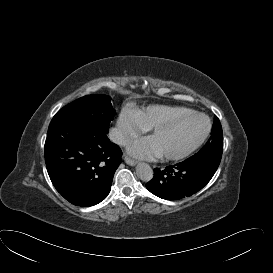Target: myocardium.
Instances as JSON below:
<instances>
[{
  "instance_id": "1",
  "label": "myocardium",
  "mask_w": 273,
  "mask_h": 273,
  "mask_svg": "<svg viewBox=\"0 0 273 273\" xmlns=\"http://www.w3.org/2000/svg\"><path fill=\"white\" fill-rule=\"evenodd\" d=\"M190 118H201L205 121V129H204V132L201 135V137L194 144H192L189 148L185 149L182 152L175 153V154L161 153V156L163 158H165V159H180V158H183V157L189 155L190 153L195 151L197 148H199L204 143V141L207 139V137L211 131V120L207 115H205L203 113L188 111V112L178 116L177 118H175L169 122L159 124L150 130V132L148 133V138L153 137L159 131L171 128V127L177 125L178 123L182 122L183 120L190 119Z\"/></svg>"
}]
</instances>
